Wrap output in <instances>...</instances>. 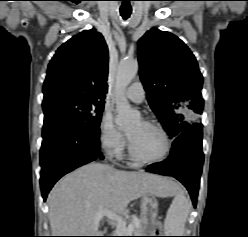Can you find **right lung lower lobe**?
<instances>
[{"instance_id": "98d812e1", "label": "right lung lower lobe", "mask_w": 248, "mask_h": 237, "mask_svg": "<svg viewBox=\"0 0 248 237\" xmlns=\"http://www.w3.org/2000/svg\"><path fill=\"white\" fill-rule=\"evenodd\" d=\"M42 135L40 184L45 201L58 179L102 155L99 128L49 123L43 125Z\"/></svg>"}]
</instances>
